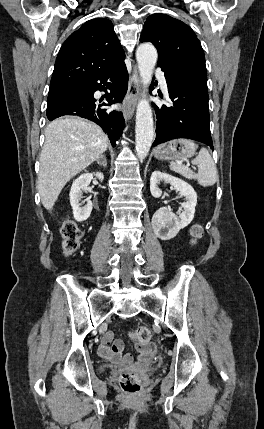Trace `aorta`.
<instances>
[{
    "instance_id": "762f6f07",
    "label": "aorta",
    "mask_w": 264,
    "mask_h": 429,
    "mask_svg": "<svg viewBox=\"0 0 264 429\" xmlns=\"http://www.w3.org/2000/svg\"><path fill=\"white\" fill-rule=\"evenodd\" d=\"M157 57V50L151 43H142L138 46L136 59L144 87L151 83ZM146 91L144 90L143 94ZM135 133L136 153L140 159H143L148 155L154 139L152 109L146 98H142L137 105Z\"/></svg>"
}]
</instances>
